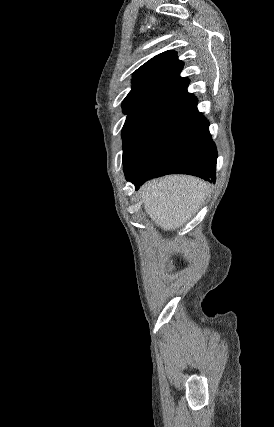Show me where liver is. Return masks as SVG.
<instances>
[{
  "instance_id": "liver-1",
  "label": "liver",
  "mask_w": 274,
  "mask_h": 427,
  "mask_svg": "<svg viewBox=\"0 0 274 427\" xmlns=\"http://www.w3.org/2000/svg\"><path fill=\"white\" fill-rule=\"evenodd\" d=\"M208 184L193 176H165L140 188L144 210L163 229H177L195 215L207 196Z\"/></svg>"
}]
</instances>
